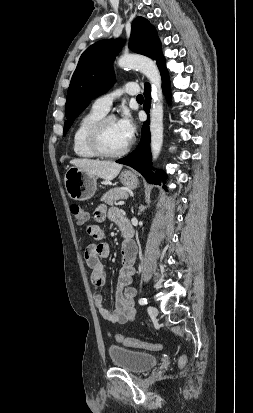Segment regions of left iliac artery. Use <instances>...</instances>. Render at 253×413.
Instances as JSON below:
<instances>
[{"label":"left iliac artery","instance_id":"44dca946","mask_svg":"<svg viewBox=\"0 0 253 413\" xmlns=\"http://www.w3.org/2000/svg\"><path fill=\"white\" fill-rule=\"evenodd\" d=\"M147 303H148V301H147L146 298H140V299H139V304H140V305H146Z\"/></svg>","mask_w":253,"mask_h":413}]
</instances>
